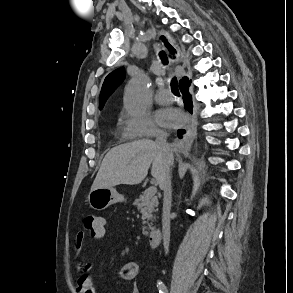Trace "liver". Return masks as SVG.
I'll use <instances>...</instances> for the list:
<instances>
[{"instance_id": "6515ba94", "label": "liver", "mask_w": 293, "mask_h": 293, "mask_svg": "<svg viewBox=\"0 0 293 293\" xmlns=\"http://www.w3.org/2000/svg\"><path fill=\"white\" fill-rule=\"evenodd\" d=\"M173 161L174 157L172 164ZM151 164V174L160 184L167 158L156 142L139 140L116 146L105 155L91 190L120 184L137 185L145 179Z\"/></svg>"}]
</instances>
